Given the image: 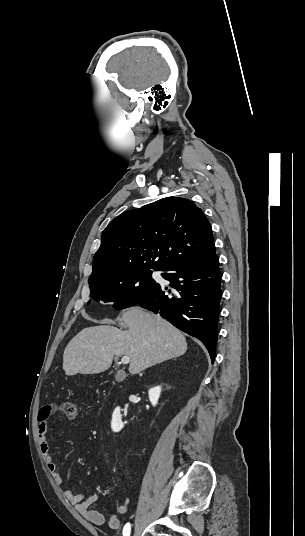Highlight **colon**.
I'll list each match as a JSON object with an SVG mask.
<instances>
[{"label": "colon", "instance_id": "colon-1", "mask_svg": "<svg viewBox=\"0 0 305 536\" xmlns=\"http://www.w3.org/2000/svg\"><path fill=\"white\" fill-rule=\"evenodd\" d=\"M57 409H60V412H57ZM49 411H52V414H49ZM57 414L59 416L64 415L68 419L76 418V409L73 403L71 402H61L57 403L52 407H49L46 411H40L38 414L39 423H41V418L43 415H53ZM42 424V423H41Z\"/></svg>", "mask_w": 305, "mask_h": 536}]
</instances>
